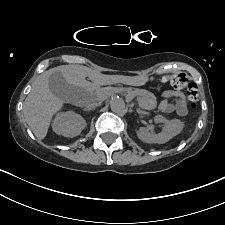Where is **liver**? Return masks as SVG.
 <instances>
[{"label": "liver", "mask_w": 225, "mask_h": 225, "mask_svg": "<svg viewBox=\"0 0 225 225\" xmlns=\"http://www.w3.org/2000/svg\"><path fill=\"white\" fill-rule=\"evenodd\" d=\"M56 71L60 72L70 85L85 90L92 86L113 84L117 79L115 76L103 75L82 65H61L39 75L24 101L23 114L28 126L40 140L46 137L52 117L63 106V101L51 92L48 84L50 74ZM86 77L93 83L86 81Z\"/></svg>", "instance_id": "1"}]
</instances>
